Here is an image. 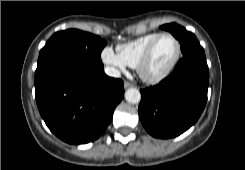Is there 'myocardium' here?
<instances>
[{
	"mask_svg": "<svg viewBox=\"0 0 245 170\" xmlns=\"http://www.w3.org/2000/svg\"><path fill=\"white\" fill-rule=\"evenodd\" d=\"M163 37H170L174 41L175 46H176V51H175L174 57L171 60V62L166 66V68H164L161 72L156 73V74H150L146 71V65H147L149 59L151 58L152 52H153L156 44ZM180 55H181L180 43H179L178 39L173 34L168 33V32L158 34L148 44V46L146 47V49L144 50V52L140 56L138 63H137V66H136V70H137L139 76L144 81L149 82V83H159V82L163 81L164 79H166L173 72V70L175 69V67H176V65L180 59Z\"/></svg>",
	"mask_w": 245,
	"mask_h": 170,
	"instance_id": "obj_1",
	"label": "myocardium"
}]
</instances>
